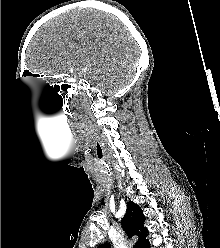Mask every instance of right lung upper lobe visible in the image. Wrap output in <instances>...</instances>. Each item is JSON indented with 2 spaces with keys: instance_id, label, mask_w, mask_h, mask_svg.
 Returning a JSON list of instances; mask_svg holds the SVG:
<instances>
[{
  "instance_id": "obj_1",
  "label": "right lung upper lobe",
  "mask_w": 220,
  "mask_h": 248,
  "mask_svg": "<svg viewBox=\"0 0 220 248\" xmlns=\"http://www.w3.org/2000/svg\"><path fill=\"white\" fill-rule=\"evenodd\" d=\"M145 216L143 215L142 209L134 202L127 204V211L122 219V226L127 236L131 238L136 235L139 237L137 243L133 248H147L150 244L146 240L148 230L144 227ZM98 248H111L109 243L100 245Z\"/></svg>"
}]
</instances>
